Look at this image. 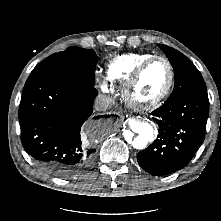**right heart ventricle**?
<instances>
[{
	"mask_svg": "<svg viewBox=\"0 0 221 221\" xmlns=\"http://www.w3.org/2000/svg\"><path fill=\"white\" fill-rule=\"evenodd\" d=\"M152 56L154 55L151 53H129L113 58L106 67L107 79L111 82L125 83L137 67Z\"/></svg>",
	"mask_w": 221,
	"mask_h": 221,
	"instance_id": "1",
	"label": "right heart ventricle"
}]
</instances>
